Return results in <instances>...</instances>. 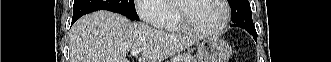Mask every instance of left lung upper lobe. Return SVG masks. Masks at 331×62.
Instances as JSON below:
<instances>
[{
    "instance_id": "1",
    "label": "left lung upper lobe",
    "mask_w": 331,
    "mask_h": 62,
    "mask_svg": "<svg viewBox=\"0 0 331 62\" xmlns=\"http://www.w3.org/2000/svg\"><path fill=\"white\" fill-rule=\"evenodd\" d=\"M228 3L231 7L233 25L247 30L255 39L257 33L253 24L249 1L228 0Z\"/></svg>"
}]
</instances>
